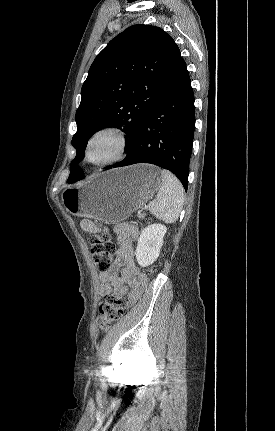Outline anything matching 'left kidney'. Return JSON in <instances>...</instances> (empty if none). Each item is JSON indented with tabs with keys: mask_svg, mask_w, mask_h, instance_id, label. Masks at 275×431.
Here are the masks:
<instances>
[{
	"mask_svg": "<svg viewBox=\"0 0 275 431\" xmlns=\"http://www.w3.org/2000/svg\"><path fill=\"white\" fill-rule=\"evenodd\" d=\"M166 231L163 224H151L141 231L135 252L140 266H149L158 258Z\"/></svg>",
	"mask_w": 275,
	"mask_h": 431,
	"instance_id": "5707ae66",
	"label": "left kidney"
}]
</instances>
